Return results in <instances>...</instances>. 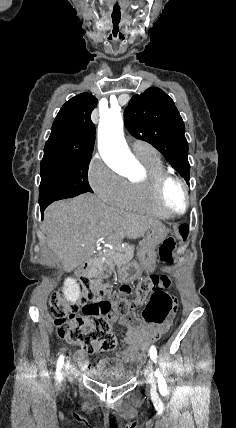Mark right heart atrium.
<instances>
[{"label": "right heart atrium", "instance_id": "d8ad5b80", "mask_svg": "<svg viewBox=\"0 0 236 428\" xmlns=\"http://www.w3.org/2000/svg\"><path fill=\"white\" fill-rule=\"evenodd\" d=\"M88 182L97 198L106 200V206H122L127 192V181L100 156H95L90 161Z\"/></svg>", "mask_w": 236, "mask_h": 428}]
</instances>
